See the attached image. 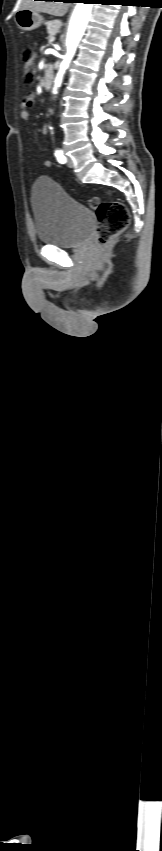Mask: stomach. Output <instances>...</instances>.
I'll list each match as a JSON object with an SVG mask.
<instances>
[{"label": "stomach", "mask_w": 162, "mask_h": 851, "mask_svg": "<svg viewBox=\"0 0 162 851\" xmlns=\"http://www.w3.org/2000/svg\"><path fill=\"white\" fill-rule=\"evenodd\" d=\"M15 22L22 31H32L43 23V17L31 9H19L15 14Z\"/></svg>", "instance_id": "obj_1"}]
</instances>
